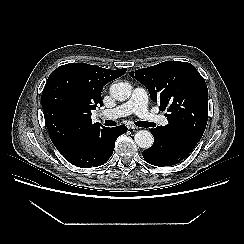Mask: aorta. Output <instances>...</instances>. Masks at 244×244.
<instances>
[{
    "instance_id": "1",
    "label": "aorta",
    "mask_w": 244,
    "mask_h": 244,
    "mask_svg": "<svg viewBox=\"0 0 244 244\" xmlns=\"http://www.w3.org/2000/svg\"><path fill=\"white\" fill-rule=\"evenodd\" d=\"M132 93V86L127 82L114 83L110 86V95L118 100H127ZM135 143L143 149L150 148L153 144V136L147 130H139L134 136Z\"/></svg>"
}]
</instances>
